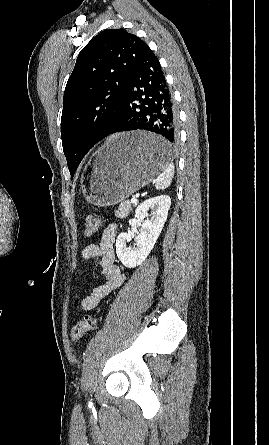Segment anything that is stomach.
<instances>
[{"instance_id":"0dacf381","label":"stomach","mask_w":269,"mask_h":445,"mask_svg":"<svg viewBox=\"0 0 269 445\" xmlns=\"http://www.w3.org/2000/svg\"><path fill=\"white\" fill-rule=\"evenodd\" d=\"M170 159L162 138L144 131L116 134L93 154L81 178L84 196L94 206L116 205L152 182Z\"/></svg>"}]
</instances>
